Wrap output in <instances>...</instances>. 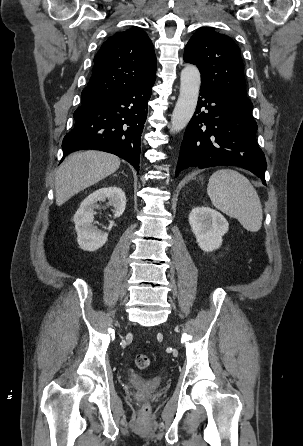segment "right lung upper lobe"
Listing matches in <instances>:
<instances>
[{
    "label": "right lung upper lobe",
    "instance_id": "1",
    "mask_svg": "<svg viewBox=\"0 0 303 446\" xmlns=\"http://www.w3.org/2000/svg\"><path fill=\"white\" fill-rule=\"evenodd\" d=\"M92 76L82 103L109 92L156 79V56L148 35L139 28L109 37L94 58Z\"/></svg>",
    "mask_w": 303,
    "mask_h": 446
}]
</instances>
